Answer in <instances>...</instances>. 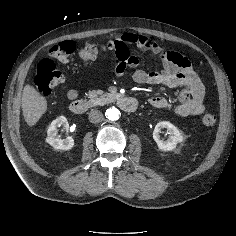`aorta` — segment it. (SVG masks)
Masks as SVG:
<instances>
[{
    "label": "aorta",
    "mask_w": 236,
    "mask_h": 236,
    "mask_svg": "<svg viewBox=\"0 0 236 236\" xmlns=\"http://www.w3.org/2000/svg\"><path fill=\"white\" fill-rule=\"evenodd\" d=\"M119 110L115 107L109 108L106 111V117L111 121H116L119 119Z\"/></svg>",
    "instance_id": "aorta-1"
}]
</instances>
